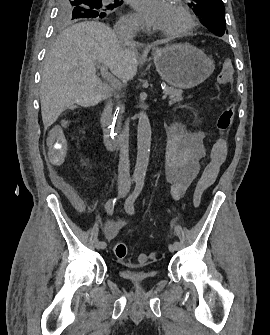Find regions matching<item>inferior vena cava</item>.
<instances>
[{
	"mask_svg": "<svg viewBox=\"0 0 270 335\" xmlns=\"http://www.w3.org/2000/svg\"><path fill=\"white\" fill-rule=\"evenodd\" d=\"M114 32L120 42H131L133 38H135L137 34V28L133 26V22L128 20V18H120L118 22H116L114 26ZM123 84H126L123 80ZM129 124L126 122L122 132H120L119 138V146H120V154H119V164H118V183L119 185H130V173H129Z\"/></svg>",
	"mask_w": 270,
	"mask_h": 335,
	"instance_id": "obj_1",
	"label": "inferior vena cava"
}]
</instances>
